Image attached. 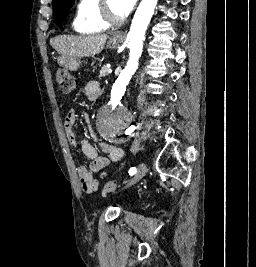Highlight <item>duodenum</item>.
I'll return each mask as SVG.
<instances>
[{
  "label": "duodenum",
  "instance_id": "obj_1",
  "mask_svg": "<svg viewBox=\"0 0 256 267\" xmlns=\"http://www.w3.org/2000/svg\"><path fill=\"white\" fill-rule=\"evenodd\" d=\"M67 70H71V67H67Z\"/></svg>",
  "mask_w": 256,
  "mask_h": 267
}]
</instances>
